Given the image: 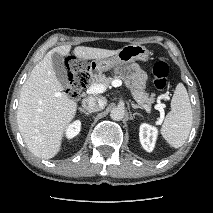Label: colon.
Here are the masks:
<instances>
[{"label": "colon", "instance_id": "colon-1", "mask_svg": "<svg viewBox=\"0 0 213 213\" xmlns=\"http://www.w3.org/2000/svg\"><path fill=\"white\" fill-rule=\"evenodd\" d=\"M67 92L72 98H77L89 83L90 75L87 64L78 59H70L68 62ZM169 74L168 64L157 59L152 68L153 82L158 90H164L167 86Z\"/></svg>", "mask_w": 213, "mask_h": 213}]
</instances>
